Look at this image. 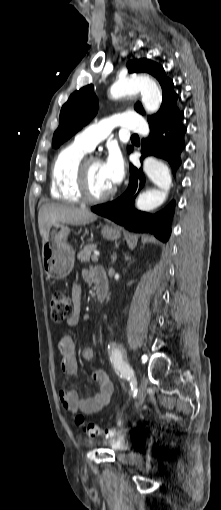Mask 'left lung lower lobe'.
I'll list each match as a JSON object with an SVG mask.
<instances>
[{
  "instance_id": "left-lung-lower-lobe-1",
  "label": "left lung lower lobe",
  "mask_w": 221,
  "mask_h": 510,
  "mask_svg": "<svg viewBox=\"0 0 221 510\" xmlns=\"http://www.w3.org/2000/svg\"><path fill=\"white\" fill-rule=\"evenodd\" d=\"M183 112H171L164 117L149 121L150 135L142 140L143 158L154 155L163 158L170 164L174 176L181 164L180 153L185 147L182 124ZM145 184L142 170L130 165V181L127 190L116 200L97 205L91 210L99 215L125 226L134 232H150L158 239L166 242L170 236V222L174 213V203L155 214H148L134 209V199Z\"/></svg>"
}]
</instances>
